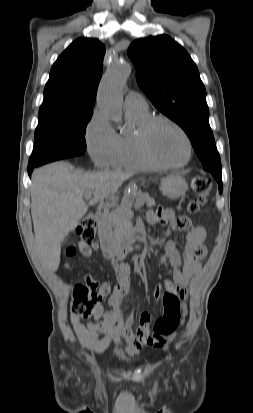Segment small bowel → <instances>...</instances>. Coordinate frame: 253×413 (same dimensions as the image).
Wrapping results in <instances>:
<instances>
[{
    "label": "small bowel",
    "instance_id": "small-bowel-1",
    "mask_svg": "<svg viewBox=\"0 0 253 413\" xmlns=\"http://www.w3.org/2000/svg\"><path fill=\"white\" fill-rule=\"evenodd\" d=\"M147 220L152 225L170 226L173 229L187 231L184 252L181 254L172 241L165 245V253L162 262H168L173 267L172 280L165 279L162 284H157L153 290V297L160 301L163 289L171 290L181 299L187 296V286L191 278L200 271V260L206 255L207 249L205 239L206 229L202 225L191 226L186 217L177 218L171 208H160L150 211ZM83 256L91 257L95 251L100 249L97 242L92 244H79ZM113 268L116 274V282L112 289L109 304L111 309L104 312L102 305L96 308L93 321H85L83 318L71 315L70 322L80 344L97 353H102L110 346H121V339L126 342L125 350L128 354H137L144 346L159 347V344L150 333L152 317L148 313H142L137 326H134L132 317L124 318L123 297L129 288L130 268L126 263L113 260ZM88 284L98 283L87 277ZM104 296L111 291L109 282H103L98 286Z\"/></svg>",
    "mask_w": 253,
    "mask_h": 413
}]
</instances>
